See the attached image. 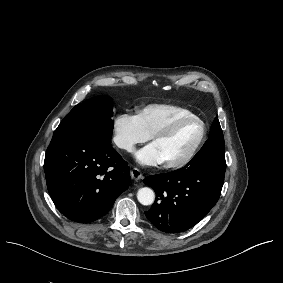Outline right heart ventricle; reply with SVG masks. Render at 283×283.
<instances>
[{
	"mask_svg": "<svg viewBox=\"0 0 283 283\" xmlns=\"http://www.w3.org/2000/svg\"><path fill=\"white\" fill-rule=\"evenodd\" d=\"M192 114L186 108L171 104H150L140 111L141 121L150 135L166 128L176 118Z\"/></svg>",
	"mask_w": 283,
	"mask_h": 283,
	"instance_id": "e07e8e85",
	"label": "right heart ventricle"
}]
</instances>
